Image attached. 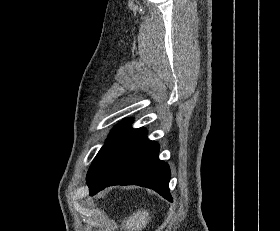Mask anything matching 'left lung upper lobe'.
<instances>
[{
	"label": "left lung upper lobe",
	"instance_id": "obj_1",
	"mask_svg": "<svg viewBox=\"0 0 280 231\" xmlns=\"http://www.w3.org/2000/svg\"><path fill=\"white\" fill-rule=\"evenodd\" d=\"M132 122L131 119H125L123 120L120 124H118L110 133L109 138L107 139V141L113 136L115 135L117 132H119L120 130H122L123 128L127 127L128 125H130Z\"/></svg>",
	"mask_w": 280,
	"mask_h": 231
}]
</instances>
